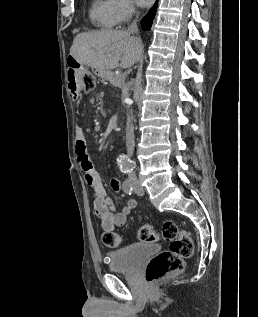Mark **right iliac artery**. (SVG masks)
Instances as JSON below:
<instances>
[{
	"mask_svg": "<svg viewBox=\"0 0 258 317\" xmlns=\"http://www.w3.org/2000/svg\"><path fill=\"white\" fill-rule=\"evenodd\" d=\"M123 190L126 194L131 195L133 193V186L129 179L123 182Z\"/></svg>",
	"mask_w": 258,
	"mask_h": 317,
	"instance_id": "82829eb1",
	"label": "right iliac artery"
}]
</instances>
